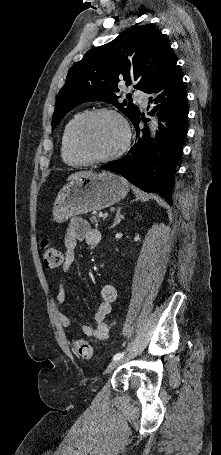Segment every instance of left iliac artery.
I'll use <instances>...</instances> for the list:
<instances>
[{
	"mask_svg": "<svg viewBox=\"0 0 221 455\" xmlns=\"http://www.w3.org/2000/svg\"><path fill=\"white\" fill-rule=\"evenodd\" d=\"M124 353L125 352L115 354L113 360L121 359L124 356Z\"/></svg>",
	"mask_w": 221,
	"mask_h": 455,
	"instance_id": "left-iliac-artery-1",
	"label": "left iliac artery"
}]
</instances>
